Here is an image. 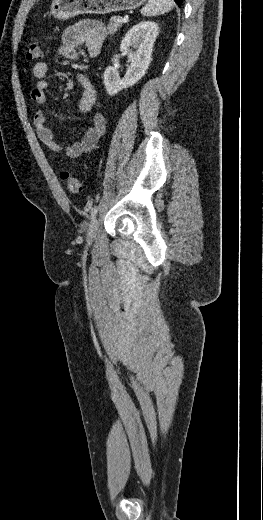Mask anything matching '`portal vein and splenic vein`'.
Segmentation results:
<instances>
[{"mask_svg":"<svg viewBox=\"0 0 263 520\" xmlns=\"http://www.w3.org/2000/svg\"><path fill=\"white\" fill-rule=\"evenodd\" d=\"M128 19H129V18H128V15H125V16L122 18V22H123V23H126V22H128Z\"/></svg>","mask_w":263,"mask_h":520,"instance_id":"portal-vein-and-splenic-vein-1","label":"portal vein and splenic vein"}]
</instances>
